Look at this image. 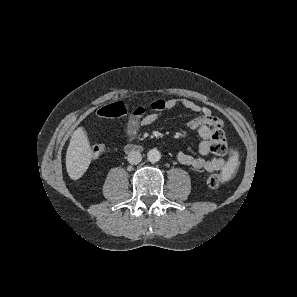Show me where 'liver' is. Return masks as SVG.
<instances>
[{
    "label": "liver",
    "mask_w": 297,
    "mask_h": 297,
    "mask_svg": "<svg viewBox=\"0 0 297 297\" xmlns=\"http://www.w3.org/2000/svg\"><path fill=\"white\" fill-rule=\"evenodd\" d=\"M92 159V150L83 128H77L71 135L66 152V169L71 179L77 180L83 176Z\"/></svg>",
    "instance_id": "6515ba94"
}]
</instances>
